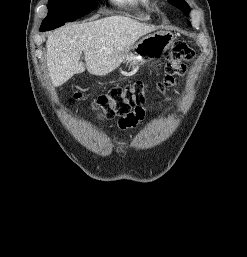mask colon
<instances>
[{"mask_svg":"<svg viewBox=\"0 0 247 257\" xmlns=\"http://www.w3.org/2000/svg\"><path fill=\"white\" fill-rule=\"evenodd\" d=\"M194 55V50L186 43L176 44L165 65V75L156 84V88L164 91L177 86L178 79L186 71L185 63L190 61ZM148 90L147 84L141 81L115 87L94 99L92 107L101 119L119 118V122H121L134 111L143 109L147 102ZM75 96L79 97L81 93L77 92Z\"/></svg>","mask_w":247,"mask_h":257,"instance_id":"obj_1","label":"colon"}]
</instances>
